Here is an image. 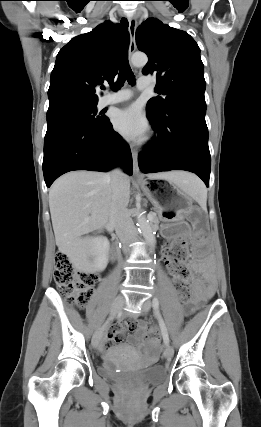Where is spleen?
<instances>
[{"instance_id":"1","label":"spleen","mask_w":261,"mask_h":427,"mask_svg":"<svg viewBox=\"0 0 261 427\" xmlns=\"http://www.w3.org/2000/svg\"><path fill=\"white\" fill-rule=\"evenodd\" d=\"M180 188L201 206L206 207L207 190L197 177L186 173Z\"/></svg>"}]
</instances>
